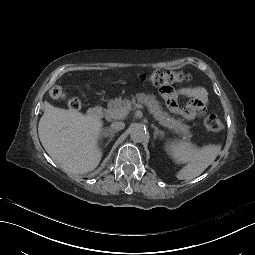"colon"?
<instances>
[{
    "label": "colon",
    "mask_w": 255,
    "mask_h": 255,
    "mask_svg": "<svg viewBox=\"0 0 255 255\" xmlns=\"http://www.w3.org/2000/svg\"><path fill=\"white\" fill-rule=\"evenodd\" d=\"M141 79L148 81L155 86L168 90L172 84L183 83L190 80V75L181 71H161L156 70L150 74H142ZM50 96L55 100H67L70 110L77 111L81 108V102L78 98H67V93L61 86H54L50 90ZM204 126L208 131L217 132L222 129L223 123L216 114H209L204 118Z\"/></svg>",
    "instance_id": "1"
}]
</instances>
